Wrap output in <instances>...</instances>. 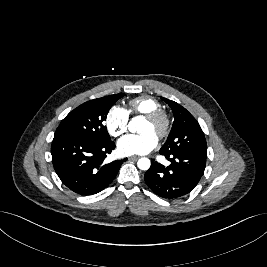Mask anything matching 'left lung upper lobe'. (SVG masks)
<instances>
[{"label": "left lung upper lobe", "mask_w": 267, "mask_h": 267, "mask_svg": "<svg viewBox=\"0 0 267 267\" xmlns=\"http://www.w3.org/2000/svg\"><path fill=\"white\" fill-rule=\"evenodd\" d=\"M172 109L174 122L160 154L191 153L207 157L204 133L196 119L178 103L161 97Z\"/></svg>", "instance_id": "left-lung-upper-lobe-1"}]
</instances>
